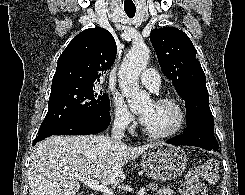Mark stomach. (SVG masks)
Listing matches in <instances>:
<instances>
[{"label":"stomach","instance_id":"1","mask_svg":"<svg viewBox=\"0 0 245 195\" xmlns=\"http://www.w3.org/2000/svg\"><path fill=\"white\" fill-rule=\"evenodd\" d=\"M188 158L180 147L158 144L142 154L141 165L146 175L157 181H170L186 169Z\"/></svg>","mask_w":245,"mask_h":195}]
</instances>
